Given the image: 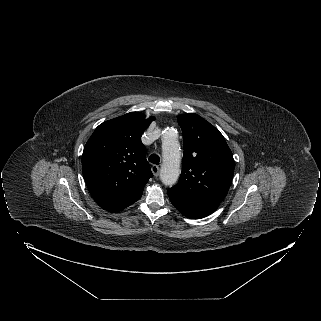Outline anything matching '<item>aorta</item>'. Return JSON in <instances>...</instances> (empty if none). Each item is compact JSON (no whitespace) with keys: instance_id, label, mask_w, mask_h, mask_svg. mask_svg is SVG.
<instances>
[{"instance_id":"aorta-1","label":"aorta","mask_w":321,"mask_h":321,"mask_svg":"<svg viewBox=\"0 0 321 321\" xmlns=\"http://www.w3.org/2000/svg\"><path fill=\"white\" fill-rule=\"evenodd\" d=\"M178 132L174 128H166L162 134V165L160 180L167 186L177 183L180 176L181 152Z\"/></svg>"}]
</instances>
